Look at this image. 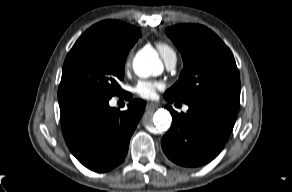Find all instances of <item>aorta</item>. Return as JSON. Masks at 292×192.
Instances as JSON below:
<instances>
[{
    "label": "aorta",
    "instance_id": "762f6f07",
    "mask_svg": "<svg viewBox=\"0 0 292 192\" xmlns=\"http://www.w3.org/2000/svg\"><path fill=\"white\" fill-rule=\"evenodd\" d=\"M133 69L137 76L147 78L151 75H159L163 66L154 49H147L139 51L133 60ZM170 113L161 108L158 109L152 118L145 121L147 128L156 127L159 131H166L171 124Z\"/></svg>",
    "mask_w": 292,
    "mask_h": 192
}]
</instances>
